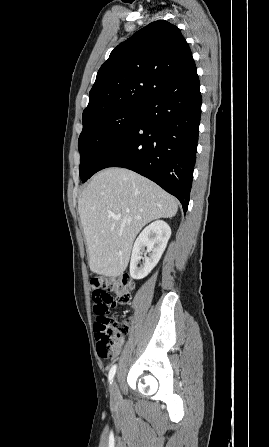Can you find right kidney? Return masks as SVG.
<instances>
[{"label":"right kidney","instance_id":"1","mask_svg":"<svg viewBox=\"0 0 269 447\" xmlns=\"http://www.w3.org/2000/svg\"><path fill=\"white\" fill-rule=\"evenodd\" d=\"M170 235L171 227L163 220L152 222L142 229L133 245L130 259V275L133 279H143L150 273L158 263ZM144 247H147L146 251H150L149 257H142L141 253L145 251ZM140 259H144V261L138 267Z\"/></svg>","mask_w":269,"mask_h":447}]
</instances>
